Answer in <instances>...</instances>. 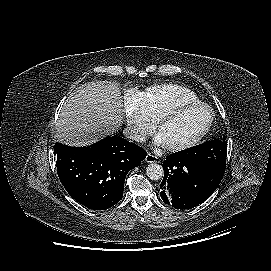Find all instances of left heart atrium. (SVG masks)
I'll list each match as a JSON object with an SVG mask.
<instances>
[{"label": "left heart atrium", "instance_id": "1", "mask_svg": "<svg viewBox=\"0 0 271 271\" xmlns=\"http://www.w3.org/2000/svg\"><path fill=\"white\" fill-rule=\"evenodd\" d=\"M155 143L158 144V145L165 146L164 140H163V138H162V136L160 134H158L155 137Z\"/></svg>", "mask_w": 271, "mask_h": 271}]
</instances>
